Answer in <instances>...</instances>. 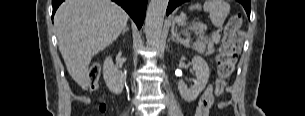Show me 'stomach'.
Instances as JSON below:
<instances>
[{
	"mask_svg": "<svg viewBox=\"0 0 305 116\" xmlns=\"http://www.w3.org/2000/svg\"><path fill=\"white\" fill-rule=\"evenodd\" d=\"M184 19H185L184 15H180L179 17L175 18V22H177L178 24H182L184 23Z\"/></svg>",
	"mask_w": 305,
	"mask_h": 116,
	"instance_id": "obj_1",
	"label": "stomach"
}]
</instances>
